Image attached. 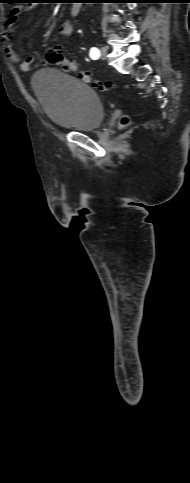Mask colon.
Listing matches in <instances>:
<instances>
[{
    "mask_svg": "<svg viewBox=\"0 0 190 483\" xmlns=\"http://www.w3.org/2000/svg\"><path fill=\"white\" fill-rule=\"evenodd\" d=\"M46 61L51 64L60 67L64 72L67 73H77L78 76L86 83H92L96 88H98L101 92H108L112 85L111 83L107 82H92L91 76L88 72L85 71H78L77 65L63 56V54L59 50H50L45 55ZM130 122V119L127 116H124L121 120L122 126H127Z\"/></svg>",
    "mask_w": 190,
    "mask_h": 483,
    "instance_id": "5ec220e1",
    "label": "colon"
}]
</instances>
